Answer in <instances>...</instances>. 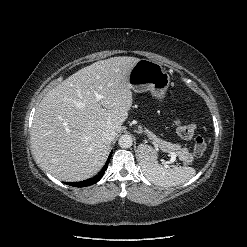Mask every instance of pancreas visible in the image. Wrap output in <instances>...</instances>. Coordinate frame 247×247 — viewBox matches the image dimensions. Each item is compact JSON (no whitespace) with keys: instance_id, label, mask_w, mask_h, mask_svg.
I'll return each instance as SVG.
<instances>
[{"instance_id":"obj_1","label":"pancreas","mask_w":247,"mask_h":247,"mask_svg":"<svg viewBox=\"0 0 247 247\" xmlns=\"http://www.w3.org/2000/svg\"><path fill=\"white\" fill-rule=\"evenodd\" d=\"M147 136L164 152H175L184 161L189 162L192 160V154L189 153L187 148H182L179 144H172L170 142L163 141L156 137L152 132L146 131Z\"/></svg>"}]
</instances>
